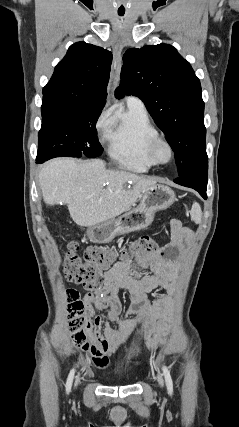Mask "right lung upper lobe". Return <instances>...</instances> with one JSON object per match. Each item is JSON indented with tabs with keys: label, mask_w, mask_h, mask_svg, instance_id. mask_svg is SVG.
<instances>
[{
	"label": "right lung upper lobe",
	"mask_w": 239,
	"mask_h": 427,
	"mask_svg": "<svg viewBox=\"0 0 239 427\" xmlns=\"http://www.w3.org/2000/svg\"><path fill=\"white\" fill-rule=\"evenodd\" d=\"M111 62L112 53L101 47L85 42L71 45L43 88L42 102L104 107Z\"/></svg>",
	"instance_id": "cb5924a9"
}]
</instances>
